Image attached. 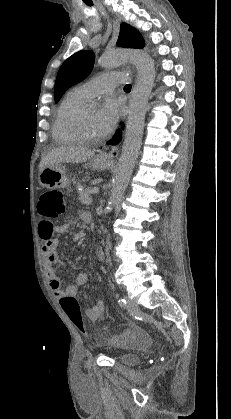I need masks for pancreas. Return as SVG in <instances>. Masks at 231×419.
<instances>
[{
	"mask_svg": "<svg viewBox=\"0 0 231 419\" xmlns=\"http://www.w3.org/2000/svg\"><path fill=\"white\" fill-rule=\"evenodd\" d=\"M92 188H84L82 192H79V201L83 205H90L92 203V197L90 191Z\"/></svg>",
	"mask_w": 231,
	"mask_h": 419,
	"instance_id": "1",
	"label": "pancreas"
}]
</instances>
